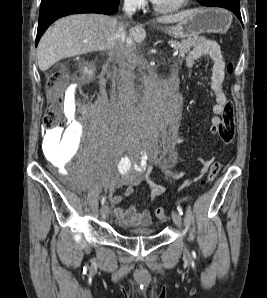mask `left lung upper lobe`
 Segmentation results:
<instances>
[{
    "label": "left lung upper lobe",
    "instance_id": "1",
    "mask_svg": "<svg viewBox=\"0 0 267 298\" xmlns=\"http://www.w3.org/2000/svg\"><path fill=\"white\" fill-rule=\"evenodd\" d=\"M200 4L206 6L207 5V2L211 1V0H197ZM232 1H235L237 3H239V0H232Z\"/></svg>",
    "mask_w": 267,
    "mask_h": 298
}]
</instances>
